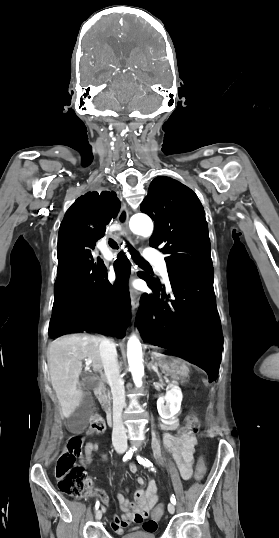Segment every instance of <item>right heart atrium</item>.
<instances>
[{
    "label": "right heart atrium",
    "mask_w": 279,
    "mask_h": 538,
    "mask_svg": "<svg viewBox=\"0 0 279 538\" xmlns=\"http://www.w3.org/2000/svg\"><path fill=\"white\" fill-rule=\"evenodd\" d=\"M140 235H141V236H146L147 234H146V233H142V234H140Z\"/></svg>",
    "instance_id": "1"
}]
</instances>
